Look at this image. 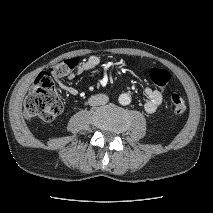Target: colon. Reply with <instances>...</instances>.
Masks as SVG:
<instances>
[{"instance_id":"obj_1","label":"colon","mask_w":213,"mask_h":213,"mask_svg":"<svg viewBox=\"0 0 213 213\" xmlns=\"http://www.w3.org/2000/svg\"><path fill=\"white\" fill-rule=\"evenodd\" d=\"M78 63L75 58L55 63L49 73L40 74L30 89L24 103V116L31 119H40L44 122L53 121L63 110V102L55 88L52 76H65L73 70ZM151 81L160 89H164L170 75L166 70L152 68L149 71ZM171 106L177 115L186 109L184 98L179 94H172Z\"/></svg>"}]
</instances>
